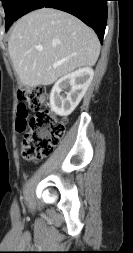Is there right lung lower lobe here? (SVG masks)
<instances>
[{
  "label": "right lung lower lobe",
  "instance_id": "1",
  "mask_svg": "<svg viewBox=\"0 0 133 253\" xmlns=\"http://www.w3.org/2000/svg\"><path fill=\"white\" fill-rule=\"evenodd\" d=\"M108 0H24L16 20L35 9L50 7L68 12L93 28L103 42Z\"/></svg>",
  "mask_w": 133,
  "mask_h": 253
}]
</instances>
